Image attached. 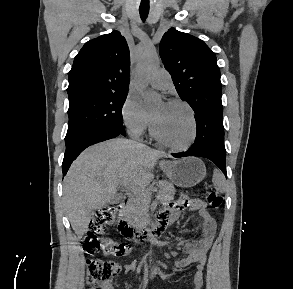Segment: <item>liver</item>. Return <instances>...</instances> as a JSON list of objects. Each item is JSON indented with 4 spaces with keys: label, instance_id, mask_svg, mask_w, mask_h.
<instances>
[{
    "label": "liver",
    "instance_id": "liver-1",
    "mask_svg": "<svg viewBox=\"0 0 293 289\" xmlns=\"http://www.w3.org/2000/svg\"><path fill=\"white\" fill-rule=\"evenodd\" d=\"M165 152L123 138L95 144L72 163L63 186V203L71 226L82 238L95 210L117 196L119 186L145 188Z\"/></svg>",
    "mask_w": 293,
    "mask_h": 289
}]
</instances>
